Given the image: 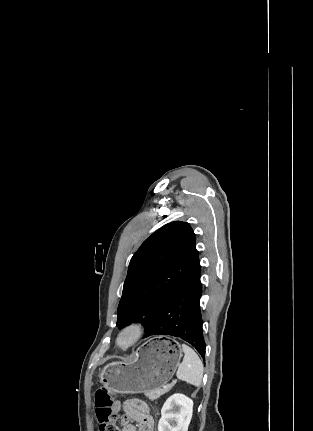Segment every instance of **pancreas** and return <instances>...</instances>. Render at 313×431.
<instances>
[{"label": "pancreas", "instance_id": "1", "mask_svg": "<svg viewBox=\"0 0 313 431\" xmlns=\"http://www.w3.org/2000/svg\"><path fill=\"white\" fill-rule=\"evenodd\" d=\"M173 385H167L166 387L158 390H150L144 392V394L151 400H156L165 393L169 392L172 389Z\"/></svg>", "mask_w": 313, "mask_h": 431}]
</instances>
